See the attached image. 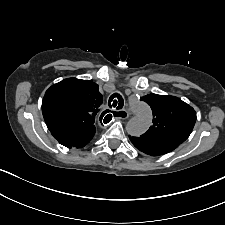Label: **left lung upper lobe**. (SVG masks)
<instances>
[{"label":"left lung upper lobe","mask_w":225,"mask_h":225,"mask_svg":"<svg viewBox=\"0 0 225 225\" xmlns=\"http://www.w3.org/2000/svg\"><path fill=\"white\" fill-rule=\"evenodd\" d=\"M151 106L153 124L141 138L181 144L192 132L196 122L194 109L174 96L149 94L141 98Z\"/></svg>","instance_id":"1"}]
</instances>
